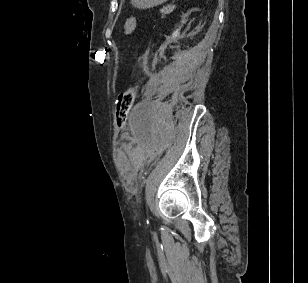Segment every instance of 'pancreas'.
<instances>
[{"label": "pancreas", "instance_id": "pancreas-1", "mask_svg": "<svg viewBox=\"0 0 308 283\" xmlns=\"http://www.w3.org/2000/svg\"><path fill=\"white\" fill-rule=\"evenodd\" d=\"M162 18H164L166 16V14H169L171 12V8L170 7H164L162 10Z\"/></svg>", "mask_w": 308, "mask_h": 283}]
</instances>
